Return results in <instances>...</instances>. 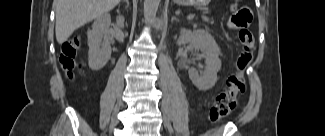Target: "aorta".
<instances>
[{"instance_id": "762f6f07", "label": "aorta", "mask_w": 325, "mask_h": 136, "mask_svg": "<svg viewBox=\"0 0 325 136\" xmlns=\"http://www.w3.org/2000/svg\"><path fill=\"white\" fill-rule=\"evenodd\" d=\"M160 0H144V18L147 24H152L156 17Z\"/></svg>"}]
</instances>
